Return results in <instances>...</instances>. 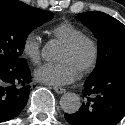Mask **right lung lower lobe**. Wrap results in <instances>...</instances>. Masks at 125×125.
<instances>
[{"label":"right lung lower lobe","mask_w":125,"mask_h":125,"mask_svg":"<svg viewBox=\"0 0 125 125\" xmlns=\"http://www.w3.org/2000/svg\"><path fill=\"white\" fill-rule=\"evenodd\" d=\"M27 63L10 66L0 60V123L15 118L25 107L31 90Z\"/></svg>","instance_id":"right-lung-lower-lobe-1"}]
</instances>
